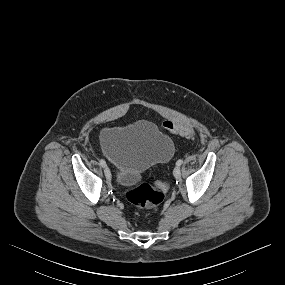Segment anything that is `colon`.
<instances>
[{
	"label": "colon",
	"instance_id": "5ec220e1",
	"mask_svg": "<svg viewBox=\"0 0 285 285\" xmlns=\"http://www.w3.org/2000/svg\"><path fill=\"white\" fill-rule=\"evenodd\" d=\"M163 126L170 133L187 139H194L196 136L195 130L187 125L167 120L163 123ZM166 187L163 182L142 183L128 190L126 196L134 206L154 210L163 201Z\"/></svg>",
	"mask_w": 285,
	"mask_h": 285
}]
</instances>
